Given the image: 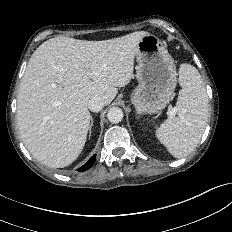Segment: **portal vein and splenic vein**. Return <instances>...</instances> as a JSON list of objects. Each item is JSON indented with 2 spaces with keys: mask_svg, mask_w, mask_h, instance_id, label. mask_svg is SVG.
<instances>
[{
  "mask_svg": "<svg viewBox=\"0 0 232 232\" xmlns=\"http://www.w3.org/2000/svg\"><path fill=\"white\" fill-rule=\"evenodd\" d=\"M174 114H175V112L172 110V111L170 112V116H174Z\"/></svg>",
  "mask_w": 232,
  "mask_h": 232,
  "instance_id": "18ae733b",
  "label": "portal vein and splenic vein"
}]
</instances>
